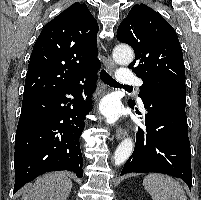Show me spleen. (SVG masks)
Listing matches in <instances>:
<instances>
[{
  "mask_svg": "<svg viewBox=\"0 0 201 200\" xmlns=\"http://www.w3.org/2000/svg\"><path fill=\"white\" fill-rule=\"evenodd\" d=\"M143 186L153 200H187L181 184L167 175L149 174L144 178Z\"/></svg>",
  "mask_w": 201,
  "mask_h": 200,
  "instance_id": "1",
  "label": "spleen"
}]
</instances>
